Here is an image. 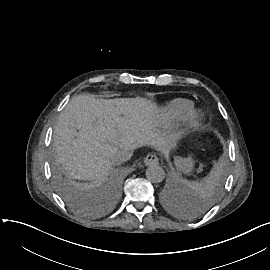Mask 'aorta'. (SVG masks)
Wrapping results in <instances>:
<instances>
[{"mask_svg": "<svg viewBox=\"0 0 270 270\" xmlns=\"http://www.w3.org/2000/svg\"><path fill=\"white\" fill-rule=\"evenodd\" d=\"M146 177L152 183H159L163 181L165 172L162 167L157 165H150L146 170Z\"/></svg>", "mask_w": 270, "mask_h": 270, "instance_id": "obj_1", "label": "aorta"}]
</instances>
